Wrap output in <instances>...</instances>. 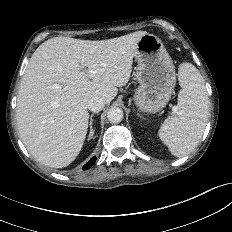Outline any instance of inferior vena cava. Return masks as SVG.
Returning <instances> with one entry per match:
<instances>
[{
    "label": "inferior vena cava",
    "instance_id": "602c4592",
    "mask_svg": "<svg viewBox=\"0 0 232 232\" xmlns=\"http://www.w3.org/2000/svg\"><path fill=\"white\" fill-rule=\"evenodd\" d=\"M104 105H105L104 100L96 96L88 101L87 107L92 112H99L103 109Z\"/></svg>",
    "mask_w": 232,
    "mask_h": 232
}]
</instances>
